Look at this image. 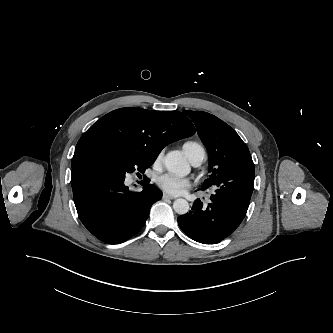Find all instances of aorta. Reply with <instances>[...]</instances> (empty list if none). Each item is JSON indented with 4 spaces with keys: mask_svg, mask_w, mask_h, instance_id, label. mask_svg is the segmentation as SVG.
Masks as SVG:
<instances>
[{
    "mask_svg": "<svg viewBox=\"0 0 333 333\" xmlns=\"http://www.w3.org/2000/svg\"><path fill=\"white\" fill-rule=\"evenodd\" d=\"M164 165L170 173L178 177H184L190 172L189 164L177 151H171L166 155ZM173 209L177 214L184 215L189 211V203L182 198L176 199L173 203Z\"/></svg>",
    "mask_w": 333,
    "mask_h": 333,
    "instance_id": "aorta-1",
    "label": "aorta"
}]
</instances>
